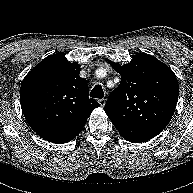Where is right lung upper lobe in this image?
Returning <instances> with one entry per match:
<instances>
[{"label":"right lung upper lobe","mask_w":193,"mask_h":193,"mask_svg":"<svg viewBox=\"0 0 193 193\" xmlns=\"http://www.w3.org/2000/svg\"><path fill=\"white\" fill-rule=\"evenodd\" d=\"M80 65L65 54H53L37 64L24 78L20 103L30 127L52 143L75 138L91 112L99 107L88 97L87 81L79 76Z\"/></svg>","instance_id":"right-lung-upper-lobe-1"}]
</instances>
